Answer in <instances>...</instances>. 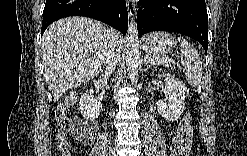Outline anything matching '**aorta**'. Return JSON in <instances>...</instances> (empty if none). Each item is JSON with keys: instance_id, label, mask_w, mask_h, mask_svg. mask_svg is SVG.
Returning <instances> with one entry per match:
<instances>
[{"instance_id": "762f6f07", "label": "aorta", "mask_w": 247, "mask_h": 156, "mask_svg": "<svg viewBox=\"0 0 247 156\" xmlns=\"http://www.w3.org/2000/svg\"><path fill=\"white\" fill-rule=\"evenodd\" d=\"M138 59H139V37L136 24L130 22L127 31V48H126V65L131 74L132 81L138 73Z\"/></svg>"}]
</instances>
